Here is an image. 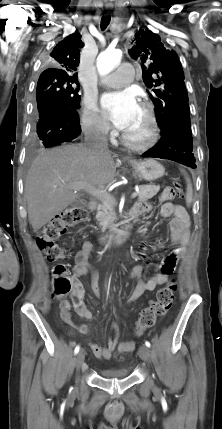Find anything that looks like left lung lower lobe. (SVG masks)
I'll return each instance as SVG.
<instances>
[{
    "label": "left lung lower lobe",
    "instance_id": "obj_1",
    "mask_svg": "<svg viewBox=\"0 0 222 429\" xmlns=\"http://www.w3.org/2000/svg\"><path fill=\"white\" fill-rule=\"evenodd\" d=\"M192 150L190 118H177L161 128L160 141L143 156L169 159L196 168Z\"/></svg>",
    "mask_w": 222,
    "mask_h": 429
}]
</instances>
